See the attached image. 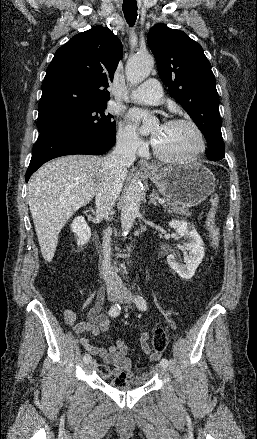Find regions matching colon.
I'll return each instance as SVG.
<instances>
[{"label":"colon","mask_w":257,"mask_h":439,"mask_svg":"<svg viewBox=\"0 0 257 439\" xmlns=\"http://www.w3.org/2000/svg\"><path fill=\"white\" fill-rule=\"evenodd\" d=\"M209 210L206 216V225L209 234V240L211 247L213 249H217L219 245L220 239V230L217 224V209L219 205V196L217 194H213L208 199ZM168 345V336L166 332L162 329H158L154 332L152 338V348L154 352L160 353L163 352ZM103 376L106 378L111 377V373L109 370H105ZM128 380L124 374H119L114 376L113 385L117 388L126 387Z\"/></svg>","instance_id":"obj_1"}]
</instances>
